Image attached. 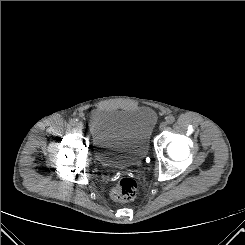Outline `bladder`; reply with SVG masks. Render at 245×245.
I'll return each instance as SVG.
<instances>
[{
  "mask_svg": "<svg viewBox=\"0 0 245 245\" xmlns=\"http://www.w3.org/2000/svg\"><path fill=\"white\" fill-rule=\"evenodd\" d=\"M157 123L148 106L99 107L87 117V129L96 159L111 169L137 165L146 156Z\"/></svg>",
  "mask_w": 245,
  "mask_h": 245,
  "instance_id": "bladder-1",
  "label": "bladder"
}]
</instances>
